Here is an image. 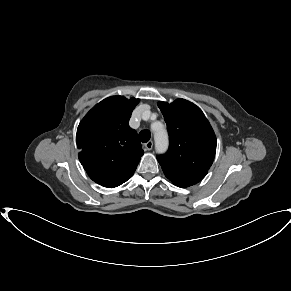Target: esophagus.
Returning <instances> with one entry per match:
<instances>
[{
  "instance_id": "34e87169",
  "label": "esophagus",
  "mask_w": 291,
  "mask_h": 291,
  "mask_svg": "<svg viewBox=\"0 0 291 291\" xmlns=\"http://www.w3.org/2000/svg\"><path fill=\"white\" fill-rule=\"evenodd\" d=\"M144 146L147 150H151L153 147V141H148L147 143L144 144Z\"/></svg>"
}]
</instances>
